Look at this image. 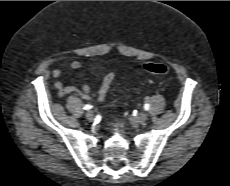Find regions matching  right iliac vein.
<instances>
[{
  "label": "right iliac vein",
  "instance_id": "63e3f726",
  "mask_svg": "<svg viewBox=\"0 0 230 186\" xmlns=\"http://www.w3.org/2000/svg\"><path fill=\"white\" fill-rule=\"evenodd\" d=\"M95 115L93 113V111H88L86 113V118L89 120V121H92L94 119Z\"/></svg>",
  "mask_w": 230,
  "mask_h": 186
}]
</instances>
